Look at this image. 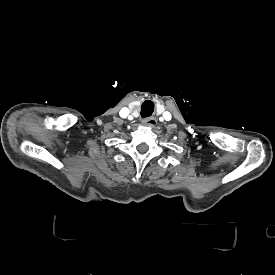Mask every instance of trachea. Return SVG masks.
Returning a JSON list of instances; mask_svg holds the SVG:
<instances>
[{
	"mask_svg": "<svg viewBox=\"0 0 275 275\" xmlns=\"http://www.w3.org/2000/svg\"><path fill=\"white\" fill-rule=\"evenodd\" d=\"M154 111V104L151 101H145L142 105H141V117L142 118H148L150 116H152V113Z\"/></svg>",
	"mask_w": 275,
	"mask_h": 275,
	"instance_id": "trachea-1",
	"label": "trachea"
}]
</instances>
